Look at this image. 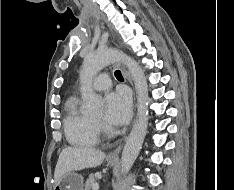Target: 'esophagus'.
I'll return each mask as SVG.
<instances>
[{
    "mask_svg": "<svg viewBox=\"0 0 234 190\" xmlns=\"http://www.w3.org/2000/svg\"><path fill=\"white\" fill-rule=\"evenodd\" d=\"M124 74L125 76L127 77L128 81L130 82V84L132 85V81H131V78L129 76V74L127 73L126 70H124ZM121 148H122V144H120L115 150H113L111 153H109L108 155V158L109 159H118V155L121 151Z\"/></svg>",
    "mask_w": 234,
    "mask_h": 190,
    "instance_id": "34e87169",
    "label": "esophagus"
}]
</instances>
